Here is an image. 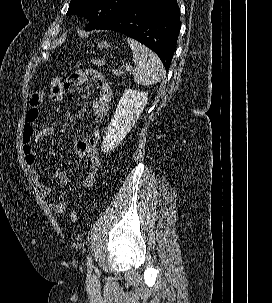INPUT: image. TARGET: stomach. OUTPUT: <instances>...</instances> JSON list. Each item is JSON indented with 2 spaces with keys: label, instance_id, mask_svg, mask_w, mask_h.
Listing matches in <instances>:
<instances>
[{
  "label": "stomach",
  "instance_id": "stomach-1",
  "mask_svg": "<svg viewBox=\"0 0 272 303\" xmlns=\"http://www.w3.org/2000/svg\"><path fill=\"white\" fill-rule=\"evenodd\" d=\"M97 47L100 49H104V48H109L111 46L110 43H108L107 41H101L100 43H98Z\"/></svg>",
  "mask_w": 272,
  "mask_h": 303
}]
</instances>
